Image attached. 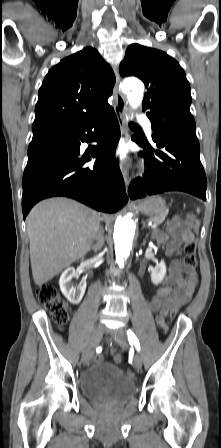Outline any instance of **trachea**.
<instances>
[{
	"label": "trachea",
	"instance_id": "trachea-1",
	"mask_svg": "<svg viewBox=\"0 0 221 448\" xmlns=\"http://www.w3.org/2000/svg\"><path fill=\"white\" fill-rule=\"evenodd\" d=\"M130 126H137L135 123H133V122H130V124H129Z\"/></svg>",
	"mask_w": 221,
	"mask_h": 448
}]
</instances>
